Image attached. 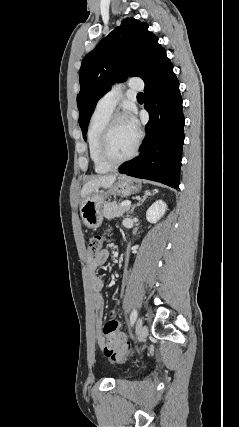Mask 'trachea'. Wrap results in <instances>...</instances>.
Here are the masks:
<instances>
[{
	"instance_id": "1",
	"label": "trachea",
	"mask_w": 239,
	"mask_h": 427,
	"mask_svg": "<svg viewBox=\"0 0 239 427\" xmlns=\"http://www.w3.org/2000/svg\"><path fill=\"white\" fill-rule=\"evenodd\" d=\"M138 97H143L144 95H143V93H138V95H137Z\"/></svg>"
}]
</instances>
